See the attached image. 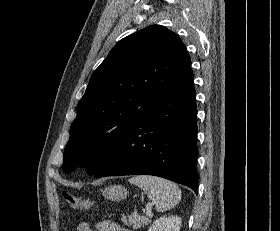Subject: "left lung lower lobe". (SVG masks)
<instances>
[{
	"label": "left lung lower lobe",
	"instance_id": "obj_1",
	"mask_svg": "<svg viewBox=\"0 0 280 231\" xmlns=\"http://www.w3.org/2000/svg\"><path fill=\"white\" fill-rule=\"evenodd\" d=\"M193 74L166 92L113 146L96 178L154 175L197 194V107Z\"/></svg>",
	"mask_w": 280,
	"mask_h": 231
}]
</instances>
